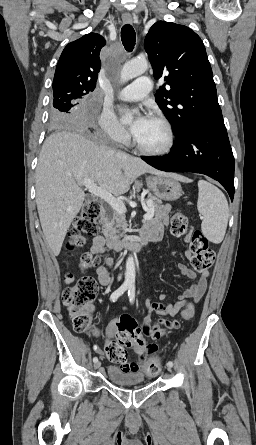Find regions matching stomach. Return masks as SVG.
<instances>
[{
	"label": "stomach",
	"mask_w": 256,
	"mask_h": 445,
	"mask_svg": "<svg viewBox=\"0 0 256 445\" xmlns=\"http://www.w3.org/2000/svg\"><path fill=\"white\" fill-rule=\"evenodd\" d=\"M146 182L153 194L165 201H175L183 194L178 180L170 175L149 176L147 177Z\"/></svg>",
	"instance_id": "0dacf381"
}]
</instances>
